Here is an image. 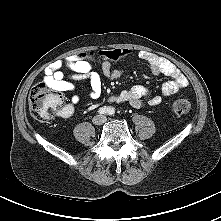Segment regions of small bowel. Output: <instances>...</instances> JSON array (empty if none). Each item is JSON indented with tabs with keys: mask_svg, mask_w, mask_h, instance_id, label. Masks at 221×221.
I'll list each match as a JSON object with an SVG mask.
<instances>
[{
	"mask_svg": "<svg viewBox=\"0 0 221 221\" xmlns=\"http://www.w3.org/2000/svg\"><path fill=\"white\" fill-rule=\"evenodd\" d=\"M138 57L146 64L153 75H165L170 78L169 81L162 85L161 91L163 96L172 95L188 86L189 82L187 77L166 58L147 51H140ZM63 68L70 70L68 77L64 74ZM124 74V69H114L108 61L102 63L100 74L94 70L88 62L79 59L78 55H73L56 60L48 66L45 70L44 82L54 90L73 93L76 82L88 81L90 90L87 93V97L96 100L102 93V76L109 80H117ZM146 97H148L146 103L149 106H156L162 101V96L151 95L148 88L140 85L122 91L116 96V99L117 101L129 102L133 107L139 108L144 105L143 99ZM80 100V95L73 93L69 103L62 109L61 115L65 118L71 117L75 111V106L79 104Z\"/></svg>",
	"mask_w": 221,
	"mask_h": 221,
	"instance_id": "c3829d8e",
	"label": "small bowel"
}]
</instances>
